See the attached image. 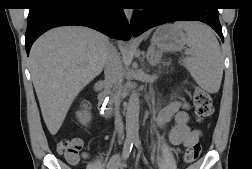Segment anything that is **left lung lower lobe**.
Returning <instances> with one entry per match:
<instances>
[{
  "instance_id": "0a47b994",
  "label": "left lung lower lobe",
  "mask_w": 252,
  "mask_h": 169,
  "mask_svg": "<svg viewBox=\"0 0 252 169\" xmlns=\"http://www.w3.org/2000/svg\"><path fill=\"white\" fill-rule=\"evenodd\" d=\"M161 8L150 12H134L131 30L134 37L165 23L196 20L208 24L223 41L218 7L214 0H165Z\"/></svg>"
}]
</instances>
